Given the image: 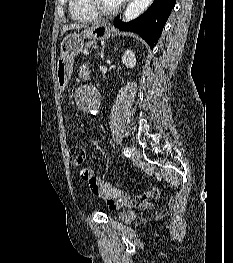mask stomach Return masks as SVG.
I'll use <instances>...</instances> for the list:
<instances>
[{"label":"stomach","mask_w":233,"mask_h":263,"mask_svg":"<svg viewBox=\"0 0 233 263\" xmlns=\"http://www.w3.org/2000/svg\"><path fill=\"white\" fill-rule=\"evenodd\" d=\"M111 33L112 28L102 22L86 28L81 34L71 33L63 38L56 69V80L60 90L66 87L71 77L73 60L82 51L84 39L104 40L108 39Z\"/></svg>","instance_id":"1"}]
</instances>
